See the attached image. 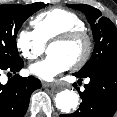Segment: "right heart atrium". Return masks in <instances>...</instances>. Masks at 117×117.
<instances>
[{
    "label": "right heart atrium",
    "instance_id": "d8ad5b80",
    "mask_svg": "<svg viewBox=\"0 0 117 117\" xmlns=\"http://www.w3.org/2000/svg\"><path fill=\"white\" fill-rule=\"evenodd\" d=\"M15 45L19 53L26 60H35L45 50V44L32 30L22 28L15 36Z\"/></svg>",
    "mask_w": 117,
    "mask_h": 117
}]
</instances>
